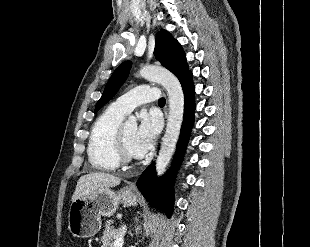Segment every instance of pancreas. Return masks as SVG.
Returning <instances> with one entry per match:
<instances>
[{
  "label": "pancreas",
  "instance_id": "1",
  "mask_svg": "<svg viewBox=\"0 0 310 247\" xmlns=\"http://www.w3.org/2000/svg\"><path fill=\"white\" fill-rule=\"evenodd\" d=\"M112 223L111 220L106 222V228L101 238V247H113V241L121 235V229H115Z\"/></svg>",
  "mask_w": 310,
  "mask_h": 247
}]
</instances>
